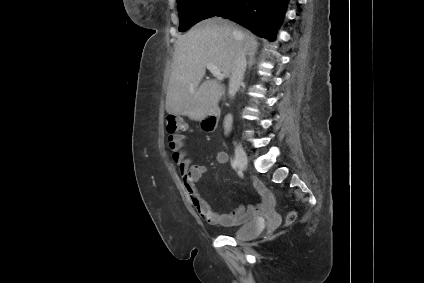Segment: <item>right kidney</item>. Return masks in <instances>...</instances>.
Wrapping results in <instances>:
<instances>
[{
    "label": "right kidney",
    "instance_id": "ca27d5eb",
    "mask_svg": "<svg viewBox=\"0 0 424 283\" xmlns=\"http://www.w3.org/2000/svg\"><path fill=\"white\" fill-rule=\"evenodd\" d=\"M230 123H231V117H230V116L225 117V120H224V127H225V130H226V131H228V130H229Z\"/></svg>",
    "mask_w": 424,
    "mask_h": 283
}]
</instances>
